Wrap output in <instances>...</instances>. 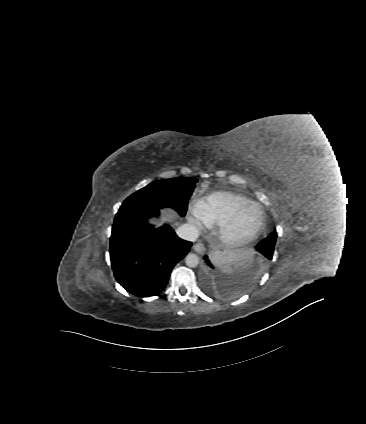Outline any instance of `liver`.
<instances>
[{
  "mask_svg": "<svg viewBox=\"0 0 366 424\" xmlns=\"http://www.w3.org/2000/svg\"><path fill=\"white\" fill-rule=\"evenodd\" d=\"M163 213H164L166 221L173 223V225H175V226L178 225V222H176L177 215H176V211L174 209L168 207L164 210Z\"/></svg>",
  "mask_w": 366,
  "mask_h": 424,
  "instance_id": "1",
  "label": "liver"
}]
</instances>
